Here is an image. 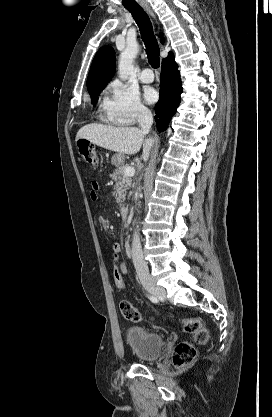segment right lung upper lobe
<instances>
[{"mask_svg": "<svg viewBox=\"0 0 272 417\" xmlns=\"http://www.w3.org/2000/svg\"><path fill=\"white\" fill-rule=\"evenodd\" d=\"M114 72V51L112 47L103 46L96 53L89 71L87 79L88 92L102 88L104 89L110 79L113 77Z\"/></svg>", "mask_w": 272, "mask_h": 417, "instance_id": "right-lung-upper-lobe-1", "label": "right lung upper lobe"}]
</instances>
